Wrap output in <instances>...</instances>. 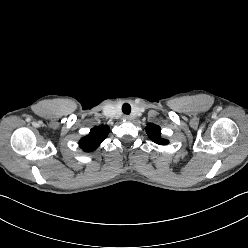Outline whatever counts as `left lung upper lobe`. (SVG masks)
Listing matches in <instances>:
<instances>
[{
    "label": "left lung upper lobe",
    "mask_w": 248,
    "mask_h": 248,
    "mask_svg": "<svg viewBox=\"0 0 248 248\" xmlns=\"http://www.w3.org/2000/svg\"><path fill=\"white\" fill-rule=\"evenodd\" d=\"M146 132H147L149 138L153 142H155L157 144H160V145H166V144H168V141L167 140L162 139L160 137V135H161V129H160L159 126L150 123V124H148V126L146 128Z\"/></svg>",
    "instance_id": "1"
}]
</instances>
